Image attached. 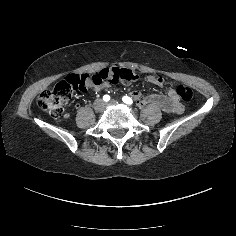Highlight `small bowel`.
<instances>
[{"label": "small bowel", "mask_w": 236, "mask_h": 236, "mask_svg": "<svg viewBox=\"0 0 236 236\" xmlns=\"http://www.w3.org/2000/svg\"><path fill=\"white\" fill-rule=\"evenodd\" d=\"M148 80L154 84H157V85H162L163 84V80L161 78H158V77H155V76H149L148 77ZM108 85L105 84V85H102L101 87H99V89L101 88H104V87H107ZM135 96L138 95L137 92L134 93Z\"/></svg>", "instance_id": "obj_1"}]
</instances>
